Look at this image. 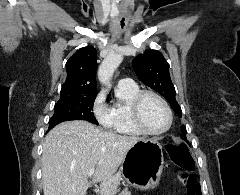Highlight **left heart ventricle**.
<instances>
[{"instance_id": "left-heart-ventricle-1", "label": "left heart ventricle", "mask_w": 240, "mask_h": 195, "mask_svg": "<svg viewBox=\"0 0 240 195\" xmlns=\"http://www.w3.org/2000/svg\"><path fill=\"white\" fill-rule=\"evenodd\" d=\"M142 119L152 130L161 129L166 123V115L162 105L153 97H146L142 104Z\"/></svg>"}]
</instances>
